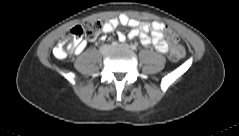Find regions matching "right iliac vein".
Returning a JSON list of instances; mask_svg holds the SVG:
<instances>
[{
  "instance_id": "63e3f726",
  "label": "right iliac vein",
  "mask_w": 239,
  "mask_h": 136,
  "mask_svg": "<svg viewBox=\"0 0 239 136\" xmlns=\"http://www.w3.org/2000/svg\"><path fill=\"white\" fill-rule=\"evenodd\" d=\"M110 49H111V46H109V45H103V46L100 48V52H101L102 54H105V53L108 52Z\"/></svg>"
}]
</instances>
